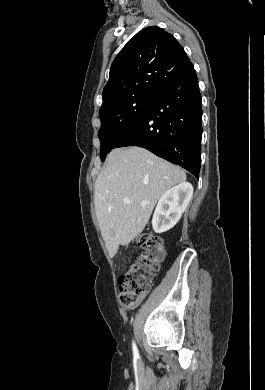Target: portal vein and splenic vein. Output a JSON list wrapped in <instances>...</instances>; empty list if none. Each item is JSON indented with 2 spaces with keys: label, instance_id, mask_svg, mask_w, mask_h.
<instances>
[{
  "label": "portal vein and splenic vein",
  "instance_id": "obj_1",
  "mask_svg": "<svg viewBox=\"0 0 265 390\" xmlns=\"http://www.w3.org/2000/svg\"><path fill=\"white\" fill-rule=\"evenodd\" d=\"M123 202H124L125 204H129V203H130V199H129V198H124V199H123ZM142 205H145V203H142Z\"/></svg>",
  "mask_w": 265,
  "mask_h": 390
}]
</instances>
